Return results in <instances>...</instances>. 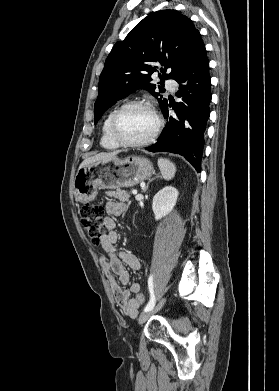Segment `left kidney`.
Segmentation results:
<instances>
[{"label": "left kidney", "instance_id": "5707ae66", "mask_svg": "<svg viewBox=\"0 0 279 391\" xmlns=\"http://www.w3.org/2000/svg\"><path fill=\"white\" fill-rule=\"evenodd\" d=\"M179 192L172 186H166L161 189L153 198L152 209L155 214V220L168 215L176 205Z\"/></svg>", "mask_w": 279, "mask_h": 391}]
</instances>
